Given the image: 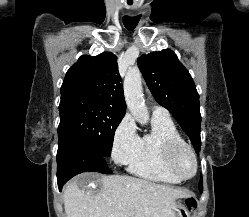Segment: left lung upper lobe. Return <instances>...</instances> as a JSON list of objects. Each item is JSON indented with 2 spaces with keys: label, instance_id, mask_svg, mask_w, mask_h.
Returning <instances> with one entry per match:
<instances>
[{
  "label": "left lung upper lobe",
  "instance_id": "5c2ea615",
  "mask_svg": "<svg viewBox=\"0 0 249 217\" xmlns=\"http://www.w3.org/2000/svg\"><path fill=\"white\" fill-rule=\"evenodd\" d=\"M138 66L155 100L169 110L189 136L195 151L199 152V95L187 69L172 50L141 55ZM199 189L202 192V180Z\"/></svg>",
  "mask_w": 249,
  "mask_h": 217
}]
</instances>
